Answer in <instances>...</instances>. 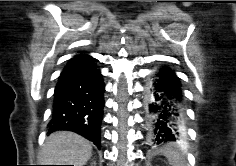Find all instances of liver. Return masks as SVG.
Instances as JSON below:
<instances>
[{"label":"liver","mask_w":236,"mask_h":166,"mask_svg":"<svg viewBox=\"0 0 236 166\" xmlns=\"http://www.w3.org/2000/svg\"><path fill=\"white\" fill-rule=\"evenodd\" d=\"M91 155L92 146L86 139L73 132L61 131L51 134L46 139L41 161L46 165L83 166Z\"/></svg>","instance_id":"liver-1"}]
</instances>
